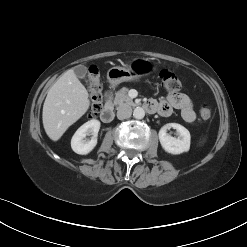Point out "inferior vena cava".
Here are the masks:
<instances>
[{"instance_id": "inferior-vena-cava-1", "label": "inferior vena cava", "mask_w": 247, "mask_h": 247, "mask_svg": "<svg viewBox=\"0 0 247 247\" xmlns=\"http://www.w3.org/2000/svg\"><path fill=\"white\" fill-rule=\"evenodd\" d=\"M132 114V108L129 105H122L118 108L117 118L119 120L130 118Z\"/></svg>"}]
</instances>
